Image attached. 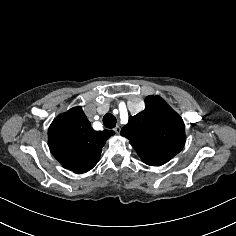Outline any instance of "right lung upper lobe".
<instances>
[{"instance_id":"right-lung-upper-lobe-1","label":"right lung upper lobe","mask_w":236,"mask_h":236,"mask_svg":"<svg viewBox=\"0 0 236 236\" xmlns=\"http://www.w3.org/2000/svg\"><path fill=\"white\" fill-rule=\"evenodd\" d=\"M113 130L97 132L80 106L57 116L48 130V144L61 165L74 173H85L98 162L106 140Z\"/></svg>"}]
</instances>
